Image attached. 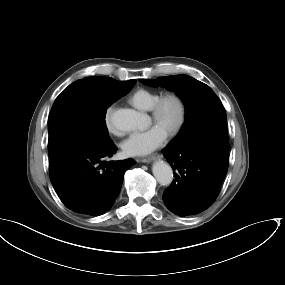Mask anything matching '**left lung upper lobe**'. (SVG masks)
<instances>
[{"label": "left lung upper lobe", "instance_id": "1", "mask_svg": "<svg viewBox=\"0 0 285 285\" xmlns=\"http://www.w3.org/2000/svg\"><path fill=\"white\" fill-rule=\"evenodd\" d=\"M140 81L149 86H164L173 90L185 104V122L166 148L179 149L204 140L228 143L225 109L208 85L187 75Z\"/></svg>", "mask_w": 285, "mask_h": 285}]
</instances>
